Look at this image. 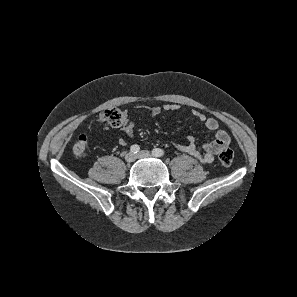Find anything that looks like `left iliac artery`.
<instances>
[{"label": "left iliac artery", "instance_id": "1", "mask_svg": "<svg viewBox=\"0 0 297 297\" xmlns=\"http://www.w3.org/2000/svg\"><path fill=\"white\" fill-rule=\"evenodd\" d=\"M152 154L156 157H161L164 155V151L160 148H155L153 149Z\"/></svg>", "mask_w": 297, "mask_h": 297}]
</instances>
